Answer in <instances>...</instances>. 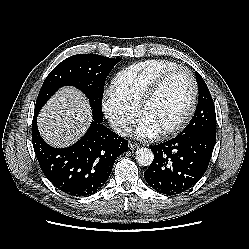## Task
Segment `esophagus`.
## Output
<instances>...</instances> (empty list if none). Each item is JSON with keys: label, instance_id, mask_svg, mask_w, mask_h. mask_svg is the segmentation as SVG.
Here are the masks:
<instances>
[{"label": "esophagus", "instance_id": "obj_1", "mask_svg": "<svg viewBox=\"0 0 249 249\" xmlns=\"http://www.w3.org/2000/svg\"><path fill=\"white\" fill-rule=\"evenodd\" d=\"M139 144L135 143V142H129V148L130 149H136V148H139Z\"/></svg>", "mask_w": 249, "mask_h": 249}]
</instances>
